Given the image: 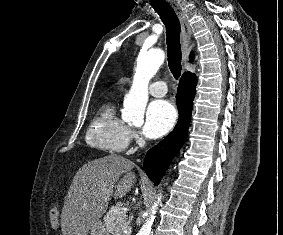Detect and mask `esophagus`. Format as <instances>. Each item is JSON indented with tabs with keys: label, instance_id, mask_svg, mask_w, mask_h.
<instances>
[{
	"label": "esophagus",
	"instance_id": "esophagus-1",
	"mask_svg": "<svg viewBox=\"0 0 283 235\" xmlns=\"http://www.w3.org/2000/svg\"><path fill=\"white\" fill-rule=\"evenodd\" d=\"M170 5L176 12L182 29V53H183V61L186 63L189 60V55L191 52V28L187 21L186 14L183 11V9L180 7V5L172 0H169Z\"/></svg>",
	"mask_w": 283,
	"mask_h": 235
}]
</instances>
